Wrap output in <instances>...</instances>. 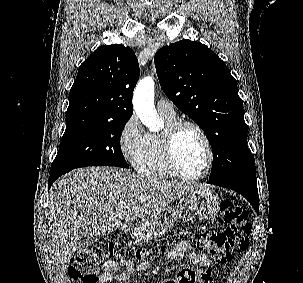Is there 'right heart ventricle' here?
Returning <instances> with one entry per match:
<instances>
[{"label":"right heart ventricle","instance_id":"obj_1","mask_svg":"<svg viewBox=\"0 0 303 283\" xmlns=\"http://www.w3.org/2000/svg\"><path fill=\"white\" fill-rule=\"evenodd\" d=\"M166 124L176 121L175 116L167 117L161 115ZM137 171L151 178H173L175 175L169 169L163 152L161 134L153 133L147 137L144 151L136 161Z\"/></svg>","mask_w":303,"mask_h":283}]
</instances>
